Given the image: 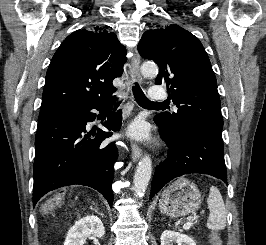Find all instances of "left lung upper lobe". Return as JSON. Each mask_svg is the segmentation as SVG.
Segmentation results:
<instances>
[{
    "label": "left lung upper lobe",
    "mask_w": 266,
    "mask_h": 245,
    "mask_svg": "<svg viewBox=\"0 0 266 245\" xmlns=\"http://www.w3.org/2000/svg\"><path fill=\"white\" fill-rule=\"evenodd\" d=\"M140 55L160 70L155 84L166 83L176 113L155 116L176 133L194 123L222 131L220 97L209 57L200 40L178 25L146 31L138 44Z\"/></svg>",
    "instance_id": "1"
}]
</instances>
